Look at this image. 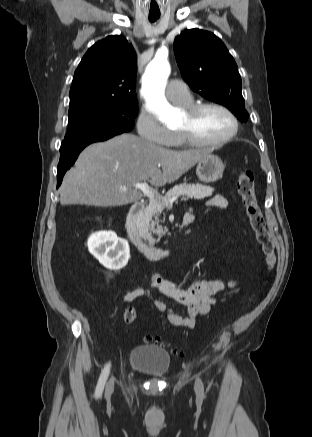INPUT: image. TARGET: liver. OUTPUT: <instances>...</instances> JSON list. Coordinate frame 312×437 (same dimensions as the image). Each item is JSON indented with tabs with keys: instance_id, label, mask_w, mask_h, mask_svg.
Instances as JSON below:
<instances>
[{
	"instance_id": "1",
	"label": "liver",
	"mask_w": 312,
	"mask_h": 437,
	"mask_svg": "<svg viewBox=\"0 0 312 437\" xmlns=\"http://www.w3.org/2000/svg\"><path fill=\"white\" fill-rule=\"evenodd\" d=\"M211 152L171 150L133 134L91 144L65 174L59 188L60 203L97 207L133 203L142 197L133 184L149 180L160 187L172 183Z\"/></svg>"
}]
</instances>
